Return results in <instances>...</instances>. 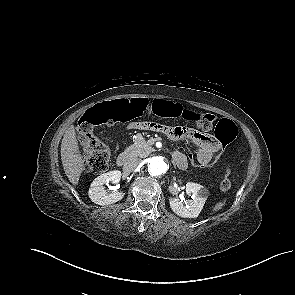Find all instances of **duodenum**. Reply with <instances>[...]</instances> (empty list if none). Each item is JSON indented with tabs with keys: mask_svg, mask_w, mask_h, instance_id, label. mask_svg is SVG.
Listing matches in <instances>:
<instances>
[{
	"mask_svg": "<svg viewBox=\"0 0 295 295\" xmlns=\"http://www.w3.org/2000/svg\"><path fill=\"white\" fill-rule=\"evenodd\" d=\"M174 154H173V158H174ZM130 160V155L126 152L120 153L116 159V163L118 166H124L125 164H127Z\"/></svg>",
	"mask_w": 295,
	"mask_h": 295,
	"instance_id": "obj_1",
	"label": "duodenum"
}]
</instances>
